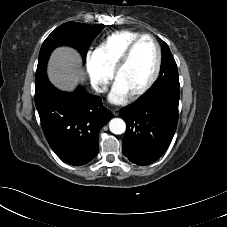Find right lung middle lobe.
Here are the masks:
<instances>
[{"label": "right lung middle lobe", "mask_w": 227, "mask_h": 227, "mask_svg": "<svg viewBox=\"0 0 227 227\" xmlns=\"http://www.w3.org/2000/svg\"><path fill=\"white\" fill-rule=\"evenodd\" d=\"M104 24L88 25L67 22L57 27L44 41L38 58L36 76L46 73V65L51 52L58 46L77 49L85 62L86 54L94 38L102 31Z\"/></svg>", "instance_id": "1"}]
</instances>
